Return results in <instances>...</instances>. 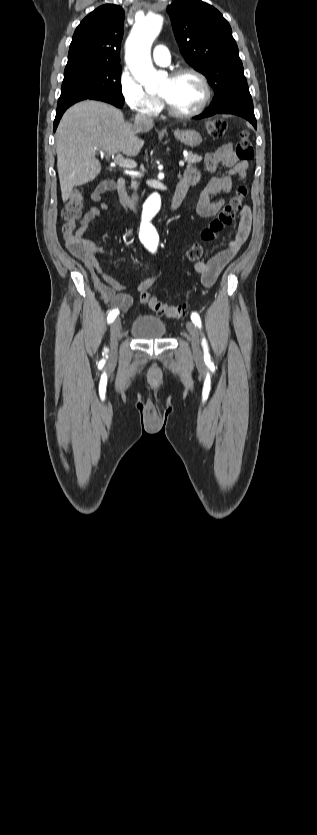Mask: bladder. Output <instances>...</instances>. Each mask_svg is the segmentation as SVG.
<instances>
[{"label":"bladder","instance_id":"1","mask_svg":"<svg viewBox=\"0 0 317 835\" xmlns=\"http://www.w3.org/2000/svg\"><path fill=\"white\" fill-rule=\"evenodd\" d=\"M167 332L165 322L152 315L139 316L131 325V334L138 339H162Z\"/></svg>","mask_w":317,"mask_h":835}]
</instances>
